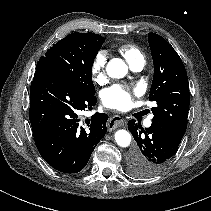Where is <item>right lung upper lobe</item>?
<instances>
[{
    "instance_id": "right-lung-upper-lobe-1",
    "label": "right lung upper lobe",
    "mask_w": 211,
    "mask_h": 211,
    "mask_svg": "<svg viewBox=\"0 0 211 211\" xmlns=\"http://www.w3.org/2000/svg\"><path fill=\"white\" fill-rule=\"evenodd\" d=\"M90 33V32H89ZM92 34V33H91ZM95 36H97L98 38H102V39H104L103 37H101L100 35H98V34H94Z\"/></svg>"
}]
</instances>
